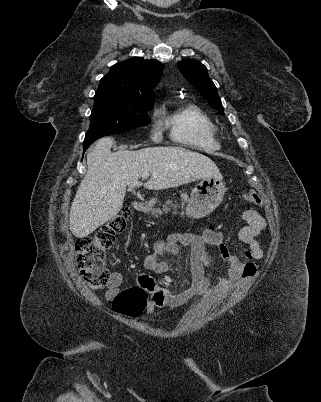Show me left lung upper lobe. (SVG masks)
I'll return each instance as SVG.
<instances>
[{"label":"left lung upper lobe","mask_w":321,"mask_h":402,"mask_svg":"<svg viewBox=\"0 0 321 402\" xmlns=\"http://www.w3.org/2000/svg\"><path fill=\"white\" fill-rule=\"evenodd\" d=\"M183 76L207 100V102L221 114H224L218 91L208 75L205 65L196 60H184L177 63Z\"/></svg>","instance_id":"5c2ea615"}]
</instances>
